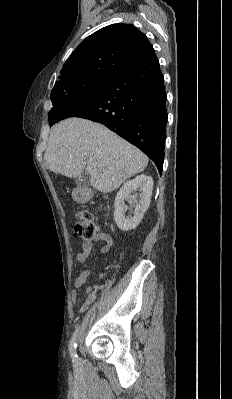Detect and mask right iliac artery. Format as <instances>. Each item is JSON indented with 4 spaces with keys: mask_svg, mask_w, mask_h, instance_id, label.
Instances as JSON below:
<instances>
[{
    "mask_svg": "<svg viewBox=\"0 0 232 399\" xmlns=\"http://www.w3.org/2000/svg\"><path fill=\"white\" fill-rule=\"evenodd\" d=\"M77 333H78V329L74 332V334H73V336L71 338L70 347H69L73 365H78L79 364V358H78V355L76 353V348H77L76 337H77Z\"/></svg>",
    "mask_w": 232,
    "mask_h": 399,
    "instance_id": "obj_1",
    "label": "right iliac artery"
}]
</instances>
